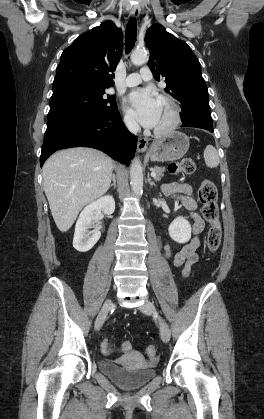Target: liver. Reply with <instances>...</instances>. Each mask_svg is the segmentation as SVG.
I'll return each instance as SVG.
<instances>
[{"label":"liver","instance_id":"6515ba94","mask_svg":"<svg viewBox=\"0 0 264 419\" xmlns=\"http://www.w3.org/2000/svg\"><path fill=\"white\" fill-rule=\"evenodd\" d=\"M113 161L101 151L76 147L60 150L43 166V187L56 226L68 231L80 210L110 187Z\"/></svg>","mask_w":264,"mask_h":419}]
</instances>
